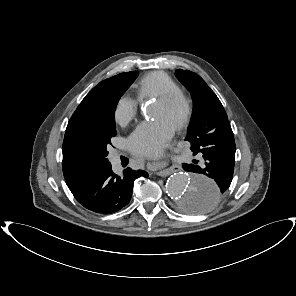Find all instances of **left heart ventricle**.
Wrapping results in <instances>:
<instances>
[{"label":"left heart ventricle","mask_w":296,"mask_h":296,"mask_svg":"<svg viewBox=\"0 0 296 296\" xmlns=\"http://www.w3.org/2000/svg\"><path fill=\"white\" fill-rule=\"evenodd\" d=\"M181 110L178 106H164L155 102L149 111L152 118H160L166 121L173 128L180 116Z\"/></svg>","instance_id":"left-heart-ventricle-1"}]
</instances>
